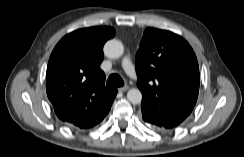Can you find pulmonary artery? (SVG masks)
<instances>
[{"instance_id":"1","label":"pulmonary artery","mask_w":244,"mask_h":157,"mask_svg":"<svg viewBox=\"0 0 244 157\" xmlns=\"http://www.w3.org/2000/svg\"><path fill=\"white\" fill-rule=\"evenodd\" d=\"M122 66H123L124 70L126 71V73L130 77L136 78V72H135L134 66H133L131 59L128 55L123 58Z\"/></svg>"}]
</instances>
